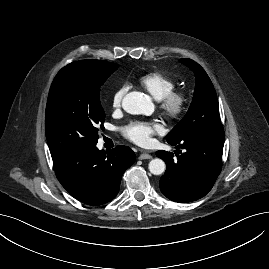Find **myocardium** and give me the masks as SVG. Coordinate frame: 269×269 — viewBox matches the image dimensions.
I'll list each match as a JSON object with an SVG mask.
<instances>
[{
  "label": "myocardium",
  "mask_w": 269,
  "mask_h": 269,
  "mask_svg": "<svg viewBox=\"0 0 269 269\" xmlns=\"http://www.w3.org/2000/svg\"><path fill=\"white\" fill-rule=\"evenodd\" d=\"M159 101V108L162 113L170 120L180 119L188 104V98L185 92L173 90Z\"/></svg>",
  "instance_id": "myocardium-1"
}]
</instances>
